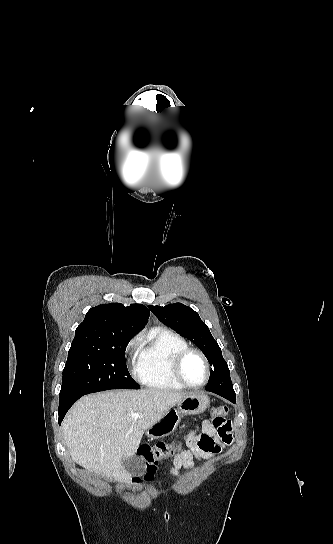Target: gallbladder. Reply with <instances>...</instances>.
Wrapping results in <instances>:
<instances>
[{
    "label": "gallbladder",
    "instance_id": "1",
    "mask_svg": "<svg viewBox=\"0 0 333 544\" xmlns=\"http://www.w3.org/2000/svg\"><path fill=\"white\" fill-rule=\"evenodd\" d=\"M122 464L132 476H141L145 471L144 464L136 457L123 459Z\"/></svg>",
    "mask_w": 333,
    "mask_h": 544
}]
</instances>
